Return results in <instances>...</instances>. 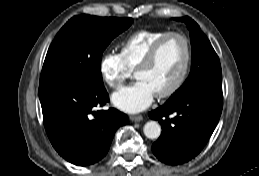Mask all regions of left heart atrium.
<instances>
[{
  "label": "left heart atrium",
  "mask_w": 259,
  "mask_h": 176,
  "mask_svg": "<svg viewBox=\"0 0 259 176\" xmlns=\"http://www.w3.org/2000/svg\"><path fill=\"white\" fill-rule=\"evenodd\" d=\"M156 93L145 81L138 80L133 85L113 93L112 103L118 109L128 113H138L148 108Z\"/></svg>",
  "instance_id": "obj_1"
}]
</instances>
